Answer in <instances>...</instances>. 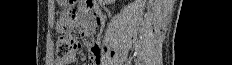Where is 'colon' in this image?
<instances>
[{
	"label": "colon",
	"mask_w": 232,
	"mask_h": 65,
	"mask_svg": "<svg viewBox=\"0 0 232 65\" xmlns=\"http://www.w3.org/2000/svg\"><path fill=\"white\" fill-rule=\"evenodd\" d=\"M73 12V11H68ZM77 47L76 40L73 38V36L70 37H61L57 39L56 43V54L58 58H64L75 51Z\"/></svg>",
	"instance_id": "1"
}]
</instances>
